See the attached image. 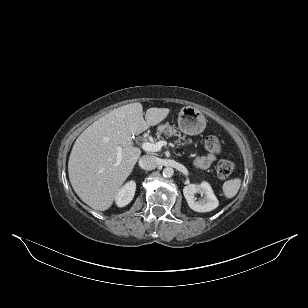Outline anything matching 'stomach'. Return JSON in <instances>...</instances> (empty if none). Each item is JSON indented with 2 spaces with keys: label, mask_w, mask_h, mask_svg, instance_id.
<instances>
[{
  "label": "stomach",
  "mask_w": 308,
  "mask_h": 308,
  "mask_svg": "<svg viewBox=\"0 0 308 308\" xmlns=\"http://www.w3.org/2000/svg\"><path fill=\"white\" fill-rule=\"evenodd\" d=\"M179 129L188 135H197L206 127V119L203 113L192 107H183L178 116Z\"/></svg>",
  "instance_id": "1"
}]
</instances>
